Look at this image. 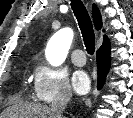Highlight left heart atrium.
Segmentation results:
<instances>
[{"label":"left heart atrium","instance_id":"1","mask_svg":"<svg viewBox=\"0 0 133 118\" xmlns=\"http://www.w3.org/2000/svg\"><path fill=\"white\" fill-rule=\"evenodd\" d=\"M72 85L77 93H86L90 86L88 75L84 71H76L72 77Z\"/></svg>","mask_w":133,"mask_h":118}]
</instances>
